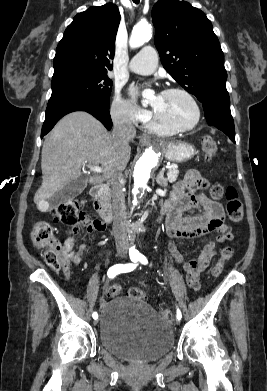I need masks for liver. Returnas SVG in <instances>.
<instances>
[{
	"mask_svg": "<svg viewBox=\"0 0 267 391\" xmlns=\"http://www.w3.org/2000/svg\"><path fill=\"white\" fill-rule=\"evenodd\" d=\"M131 149L114 146V138L92 115L84 111L64 116L47 135L41 155L42 184L34 202L44 204L66 184L81 175L83 163L99 166L102 175L92 176L89 183L97 184L122 172Z\"/></svg>",
	"mask_w": 267,
	"mask_h": 391,
	"instance_id": "6515ba94",
	"label": "liver"
}]
</instances>
